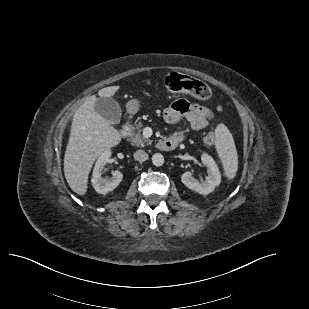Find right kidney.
Here are the masks:
<instances>
[{
    "mask_svg": "<svg viewBox=\"0 0 309 309\" xmlns=\"http://www.w3.org/2000/svg\"><path fill=\"white\" fill-rule=\"evenodd\" d=\"M111 156V151H105L102 155L98 158L93 174H92V185L97 193L100 194H107L108 192L114 190L122 181L123 175L120 171L116 170L112 172V177L102 178V173L105 168V165L109 161Z\"/></svg>",
    "mask_w": 309,
    "mask_h": 309,
    "instance_id": "ca27d5eb",
    "label": "right kidney"
}]
</instances>
